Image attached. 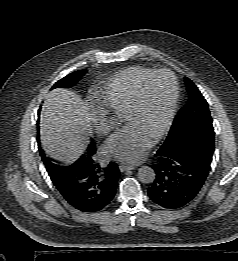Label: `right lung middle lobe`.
<instances>
[{
  "mask_svg": "<svg viewBox=\"0 0 238 261\" xmlns=\"http://www.w3.org/2000/svg\"><path fill=\"white\" fill-rule=\"evenodd\" d=\"M85 72L86 71H84V70L75 71V72L65 76L58 82H56L54 84L53 88L71 87L85 74ZM93 149H94V146L91 144L88 148V151L93 150ZM40 154L42 156V160L44 161V163L46 165V169H47L49 175L55 177L56 174H59L63 169L67 168V166H59V165L52 163L49 159H47L45 157V155L43 154L41 149H40Z\"/></svg>",
  "mask_w": 238,
  "mask_h": 261,
  "instance_id": "right-lung-middle-lobe-1",
  "label": "right lung middle lobe"
}]
</instances>
